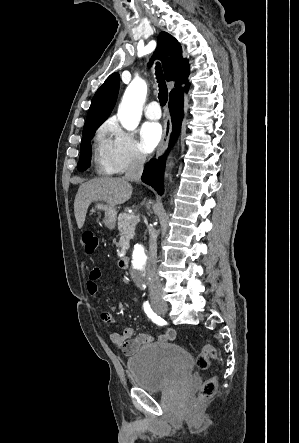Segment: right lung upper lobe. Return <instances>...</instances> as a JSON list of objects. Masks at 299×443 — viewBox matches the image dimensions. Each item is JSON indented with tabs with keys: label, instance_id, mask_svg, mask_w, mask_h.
Masks as SVG:
<instances>
[{
	"label": "right lung upper lobe",
	"instance_id": "right-lung-upper-lobe-1",
	"mask_svg": "<svg viewBox=\"0 0 299 443\" xmlns=\"http://www.w3.org/2000/svg\"><path fill=\"white\" fill-rule=\"evenodd\" d=\"M155 58L161 60L166 80H177L175 89L171 93L181 88V84L187 83L190 72L188 61L182 58V48L178 41L167 32H161L158 37V45L152 60ZM119 80V74L113 73L97 90L89 108L83 132L90 127L100 126L108 118L117 99Z\"/></svg>",
	"mask_w": 299,
	"mask_h": 443
}]
</instances>
